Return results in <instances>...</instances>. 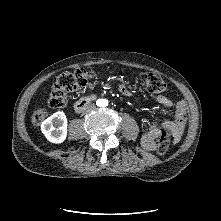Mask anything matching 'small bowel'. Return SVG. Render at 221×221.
<instances>
[{
	"instance_id": "c3829d8e",
	"label": "small bowel",
	"mask_w": 221,
	"mask_h": 221,
	"mask_svg": "<svg viewBox=\"0 0 221 221\" xmlns=\"http://www.w3.org/2000/svg\"><path fill=\"white\" fill-rule=\"evenodd\" d=\"M119 90L125 96L131 95L130 90L124 85H120ZM157 101L159 102L163 111L169 110L172 106L171 100L164 95L158 96ZM185 119H186V106L183 101H180L176 105L174 120L164 121L160 125L153 123L148 126L147 130L142 135V143L144 147H146L149 150L154 149L155 140L158 138L161 129L165 128L171 129L174 132L176 138L178 139L183 132Z\"/></svg>"
}]
</instances>
